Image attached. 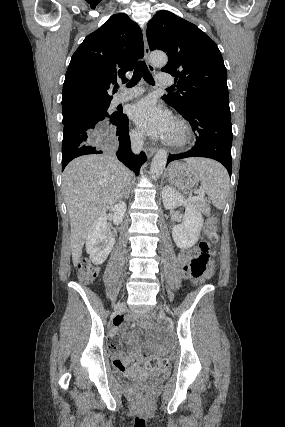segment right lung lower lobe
<instances>
[{
  "mask_svg": "<svg viewBox=\"0 0 285 427\" xmlns=\"http://www.w3.org/2000/svg\"><path fill=\"white\" fill-rule=\"evenodd\" d=\"M111 123L91 115H72L71 119L63 120L64 134L62 141V170L74 158L87 154L102 153L104 142L102 137L110 132L118 140L116 155L128 168L139 174L146 155L141 152L134 155L130 151L131 144L128 134V118L122 112Z\"/></svg>",
  "mask_w": 285,
  "mask_h": 427,
  "instance_id": "98d812e1",
  "label": "right lung lower lobe"
}]
</instances>
